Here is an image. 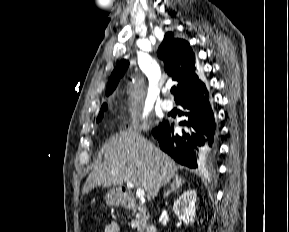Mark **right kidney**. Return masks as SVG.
Wrapping results in <instances>:
<instances>
[{
  "mask_svg": "<svg viewBox=\"0 0 289 232\" xmlns=\"http://www.w3.org/2000/svg\"><path fill=\"white\" fill-rule=\"evenodd\" d=\"M197 193L195 190H187L180 195L173 204V211L180 221L186 225L193 222L195 216Z\"/></svg>",
  "mask_w": 289,
  "mask_h": 232,
  "instance_id": "1",
  "label": "right kidney"
}]
</instances>
